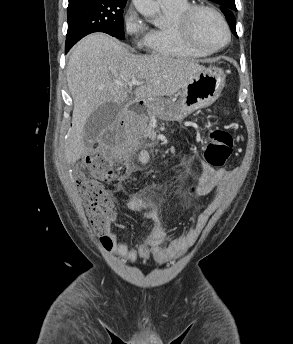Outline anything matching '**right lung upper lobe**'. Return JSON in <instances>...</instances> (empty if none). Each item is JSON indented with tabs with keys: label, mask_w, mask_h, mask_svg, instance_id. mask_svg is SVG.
<instances>
[{
	"label": "right lung upper lobe",
	"mask_w": 293,
	"mask_h": 344,
	"mask_svg": "<svg viewBox=\"0 0 293 344\" xmlns=\"http://www.w3.org/2000/svg\"><path fill=\"white\" fill-rule=\"evenodd\" d=\"M82 0H69V4H73V3H76V2H80ZM122 1H127V0H122Z\"/></svg>",
	"instance_id": "cb5924a9"
}]
</instances>
